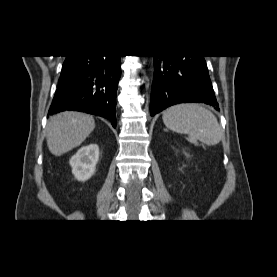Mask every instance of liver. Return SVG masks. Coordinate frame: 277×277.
<instances>
[{
	"mask_svg": "<svg viewBox=\"0 0 277 277\" xmlns=\"http://www.w3.org/2000/svg\"><path fill=\"white\" fill-rule=\"evenodd\" d=\"M95 128L94 118L80 112H62L52 116L47 124V145L55 156L82 144Z\"/></svg>",
	"mask_w": 277,
	"mask_h": 277,
	"instance_id": "liver-1",
	"label": "liver"
}]
</instances>
